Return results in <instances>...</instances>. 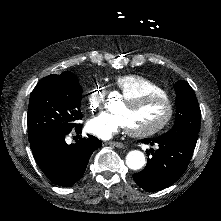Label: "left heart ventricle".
<instances>
[{
	"label": "left heart ventricle",
	"instance_id": "left-heart-ventricle-1",
	"mask_svg": "<svg viewBox=\"0 0 221 221\" xmlns=\"http://www.w3.org/2000/svg\"><path fill=\"white\" fill-rule=\"evenodd\" d=\"M162 116V107L155 101L142 103L134 113V120H138L142 125L147 122L157 121Z\"/></svg>",
	"mask_w": 221,
	"mask_h": 221
}]
</instances>
